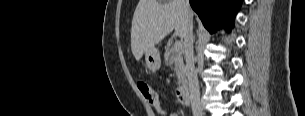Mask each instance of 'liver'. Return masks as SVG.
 Wrapping results in <instances>:
<instances>
[{"label": "liver", "mask_w": 305, "mask_h": 116, "mask_svg": "<svg viewBox=\"0 0 305 116\" xmlns=\"http://www.w3.org/2000/svg\"><path fill=\"white\" fill-rule=\"evenodd\" d=\"M193 11L189 16L193 18ZM186 19L182 0H140L132 19L131 50L139 61L173 30L183 38Z\"/></svg>", "instance_id": "1"}]
</instances>
